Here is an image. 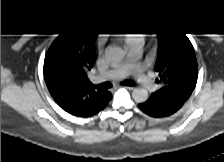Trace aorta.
Wrapping results in <instances>:
<instances>
[{
    "instance_id": "1",
    "label": "aorta",
    "mask_w": 224,
    "mask_h": 162,
    "mask_svg": "<svg viewBox=\"0 0 224 162\" xmlns=\"http://www.w3.org/2000/svg\"><path fill=\"white\" fill-rule=\"evenodd\" d=\"M124 57V52L120 48H115L106 53V59L111 64L119 63ZM132 98L136 103H143L148 100V91L144 88H135L132 91Z\"/></svg>"
}]
</instances>
